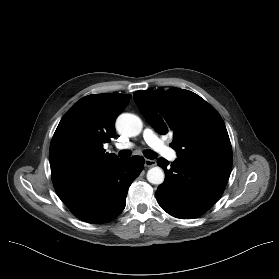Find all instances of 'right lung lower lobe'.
<instances>
[{
    "instance_id": "right-lung-lower-lobe-1",
    "label": "right lung lower lobe",
    "mask_w": 279,
    "mask_h": 279,
    "mask_svg": "<svg viewBox=\"0 0 279 279\" xmlns=\"http://www.w3.org/2000/svg\"><path fill=\"white\" fill-rule=\"evenodd\" d=\"M144 162L141 156L118 159L88 174L55 183L54 188L76 217L92 224L106 223L125 208L129 186Z\"/></svg>"
}]
</instances>
